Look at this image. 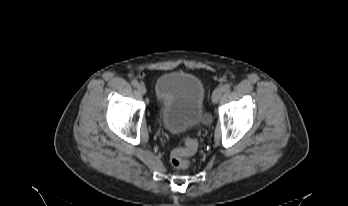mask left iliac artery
Returning <instances> with one entry per match:
<instances>
[{"label": "left iliac artery", "instance_id": "left-iliac-artery-1", "mask_svg": "<svg viewBox=\"0 0 348 206\" xmlns=\"http://www.w3.org/2000/svg\"><path fill=\"white\" fill-rule=\"evenodd\" d=\"M222 89H223L224 92L229 91V89H230V84H229V83L224 84V85L222 86Z\"/></svg>", "mask_w": 348, "mask_h": 206}]
</instances>
